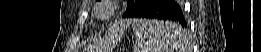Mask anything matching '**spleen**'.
<instances>
[{
  "mask_svg": "<svg viewBox=\"0 0 261 52\" xmlns=\"http://www.w3.org/2000/svg\"><path fill=\"white\" fill-rule=\"evenodd\" d=\"M132 28L138 52H174L182 46V35L172 23L140 19L133 22ZM171 32L174 33L170 35Z\"/></svg>",
  "mask_w": 261,
  "mask_h": 52,
  "instance_id": "3e777b00",
  "label": "spleen"
}]
</instances>
